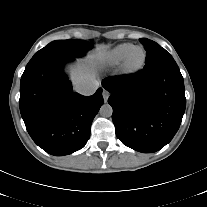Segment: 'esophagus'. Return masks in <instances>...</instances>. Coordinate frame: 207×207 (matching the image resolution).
Instances as JSON below:
<instances>
[{
	"label": "esophagus",
	"mask_w": 207,
	"mask_h": 207,
	"mask_svg": "<svg viewBox=\"0 0 207 207\" xmlns=\"http://www.w3.org/2000/svg\"><path fill=\"white\" fill-rule=\"evenodd\" d=\"M102 96H103L104 101L107 102V100L110 96V93L107 90H103Z\"/></svg>",
	"instance_id": "34e87169"
}]
</instances>
